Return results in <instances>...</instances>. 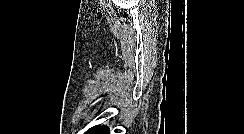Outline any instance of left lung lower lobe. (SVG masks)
<instances>
[{
    "label": "left lung lower lobe",
    "mask_w": 244,
    "mask_h": 134,
    "mask_svg": "<svg viewBox=\"0 0 244 134\" xmlns=\"http://www.w3.org/2000/svg\"><path fill=\"white\" fill-rule=\"evenodd\" d=\"M94 134H109V129L106 126H101Z\"/></svg>",
    "instance_id": "1"
}]
</instances>
